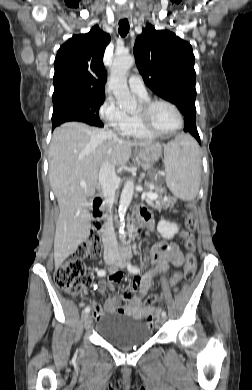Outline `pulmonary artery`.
<instances>
[{
  "mask_svg": "<svg viewBox=\"0 0 252 390\" xmlns=\"http://www.w3.org/2000/svg\"><path fill=\"white\" fill-rule=\"evenodd\" d=\"M128 85L132 93L142 99H147L148 94L144 86L143 80L138 75H132L128 79Z\"/></svg>",
  "mask_w": 252,
  "mask_h": 390,
  "instance_id": "pulmonary-artery-1",
  "label": "pulmonary artery"
}]
</instances>
